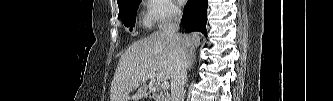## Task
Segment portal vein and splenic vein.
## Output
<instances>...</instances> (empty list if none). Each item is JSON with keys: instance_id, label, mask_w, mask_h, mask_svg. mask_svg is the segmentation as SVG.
I'll use <instances>...</instances> for the list:
<instances>
[{"instance_id": "portal-vein-and-splenic-vein-1", "label": "portal vein and splenic vein", "mask_w": 333, "mask_h": 101, "mask_svg": "<svg viewBox=\"0 0 333 101\" xmlns=\"http://www.w3.org/2000/svg\"><path fill=\"white\" fill-rule=\"evenodd\" d=\"M149 79H153V80H155L156 79V75L155 74H149L148 76H147ZM161 87H162V89L163 90H166V89H168L169 88V83L167 82V81H163L162 83H161Z\"/></svg>"}]
</instances>
